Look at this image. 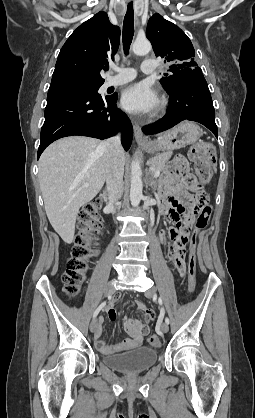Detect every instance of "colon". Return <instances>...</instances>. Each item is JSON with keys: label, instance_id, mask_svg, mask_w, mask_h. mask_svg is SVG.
Wrapping results in <instances>:
<instances>
[{"label": "colon", "instance_id": "colon-1", "mask_svg": "<svg viewBox=\"0 0 255 418\" xmlns=\"http://www.w3.org/2000/svg\"><path fill=\"white\" fill-rule=\"evenodd\" d=\"M189 158L194 164V169L199 181L202 184L210 182L216 163V154L214 147L206 142L197 143L190 149ZM202 205L200 212L195 220L190 217L184 220L177 228H193L200 229L206 226L210 217L212 207L209 204L208 197L203 194L199 197ZM102 206V200L97 198L87 203L81 210L79 215V223L81 232L77 237L76 244L72 250L71 257L67 262V268L62 276L64 291L70 297H76L80 293L81 285L86 278V272L89 268V261L92 256L98 253V250L91 248L87 239L88 236L97 231L100 224L99 210ZM196 235H190L188 239V260L185 262L187 266L186 276L188 279L189 290L195 289L196 276V251H197ZM151 346L159 347L160 338L157 335H151L148 338Z\"/></svg>", "mask_w": 255, "mask_h": 418}]
</instances>
